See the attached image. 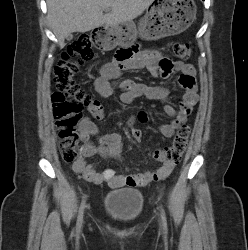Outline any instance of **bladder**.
<instances>
[{
    "label": "bladder",
    "mask_w": 248,
    "mask_h": 250,
    "mask_svg": "<svg viewBox=\"0 0 248 250\" xmlns=\"http://www.w3.org/2000/svg\"><path fill=\"white\" fill-rule=\"evenodd\" d=\"M103 207L112 218L122 223H131L141 215L144 209L143 193L135 188L109 191L104 197Z\"/></svg>",
    "instance_id": "bladder-1"
}]
</instances>
